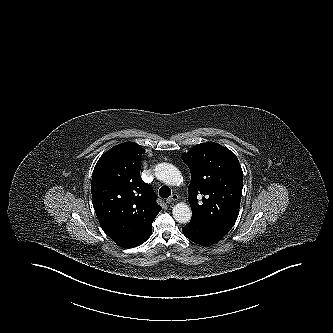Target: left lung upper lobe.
Returning <instances> with one entry per match:
<instances>
[{
  "label": "left lung upper lobe",
  "mask_w": 333,
  "mask_h": 333,
  "mask_svg": "<svg viewBox=\"0 0 333 333\" xmlns=\"http://www.w3.org/2000/svg\"><path fill=\"white\" fill-rule=\"evenodd\" d=\"M182 160L191 171V220L227 234L237 220L242 195L243 172L237 157L219 144L201 143Z\"/></svg>",
  "instance_id": "5c2ea615"
}]
</instances>
